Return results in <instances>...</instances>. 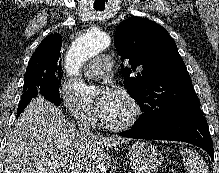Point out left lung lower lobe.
I'll return each mask as SVG.
<instances>
[{"instance_id": "left-lung-lower-lobe-1", "label": "left lung lower lobe", "mask_w": 219, "mask_h": 173, "mask_svg": "<svg viewBox=\"0 0 219 173\" xmlns=\"http://www.w3.org/2000/svg\"><path fill=\"white\" fill-rule=\"evenodd\" d=\"M120 135L135 139L175 140L191 143L203 148L214 160L209 127L200 108L180 112L155 127L135 125Z\"/></svg>"}]
</instances>
